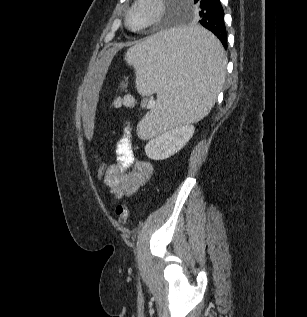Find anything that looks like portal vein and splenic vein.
Returning <instances> with one entry per match:
<instances>
[{"label": "portal vein and splenic vein", "mask_w": 307, "mask_h": 317, "mask_svg": "<svg viewBox=\"0 0 307 317\" xmlns=\"http://www.w3.org/2000/svg\"><path fill=\"white\" fill-rule=\"evenodd\" d=\"M149 104L152 106V105L155 104V102L154 101H150Z\"/></svg>", "instance_id": "obj_1"}]
</instances>
